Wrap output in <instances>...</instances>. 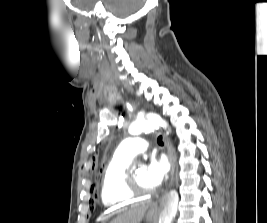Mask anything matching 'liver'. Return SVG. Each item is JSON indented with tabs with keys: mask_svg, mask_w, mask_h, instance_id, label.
<instances>
[{
	"mask_svg": "<svg viewBox=\"0 0 267 223\" xmlns=\"http://www.w3.org/2000/svg\"><path fill=\"white\" fill-rule=\"evenodd\" d=\"M149 204H142L125 210L110 223H140L145 216Z\"/></svg>",
	"mask_w": 267,
	"mask_h": 223,
	"instance_id": "liver-1",
	"label": "liver"
}]
</instances>
